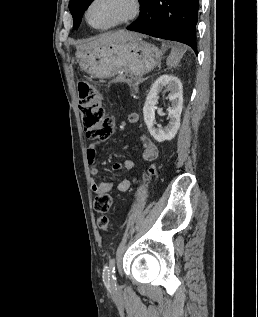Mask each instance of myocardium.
<instances>
[{"label":"myocardium","mask_w":258,"mask_h":317,"mask_svg":"<svg viewBox=\"0 0 258 317\" xmlns=\"http://www.w3.org/2000/svg\"><path fill=\"white\" fill-rule=\"evenodd\" d=\"M96 1L97 0H92L89 3V5L86 9V12H85V19H86L87 23L92 28L97 29V30H101V31L110 30V29L116 28L118 26H121L123 24H126V23L132 21L133 19H135L137 17V15L139 14V11H140V6L136 0H116V1H120V2H123V3H126L129 5L128 14L125 17L121 18L120 20L115 21L111 24L96 25L90 19V9H91L92 5L94 4V2H96Z\"/></svg>","instance_id":"f54148a6"}]
</instances>
